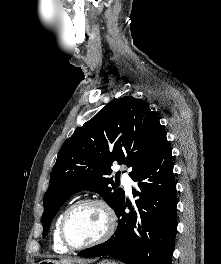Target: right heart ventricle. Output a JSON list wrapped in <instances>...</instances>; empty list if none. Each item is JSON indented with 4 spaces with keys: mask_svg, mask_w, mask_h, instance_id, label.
<instances>
[{
    "mask_svg": "<svg viewBox=\"0 0 221 264\" xmlns=\"http://www.w3.org/2000/svg\"><path fill=\"white\" fill-rule=\"evenodd\" d=\"M63 213L60 214L55 222V225H54V229H53V233H52V245H53V249L56 251V252H59V253H65L68 251V248H66L62 242H61V239H60V236H59V225H60V221H61V217H62Z\"/></svg>",
    "mask_w": 221,
    "mask_h": 264,
    "instance_id": "obj_1",
    "label": "right heart ventricle"
}]
</instances>
